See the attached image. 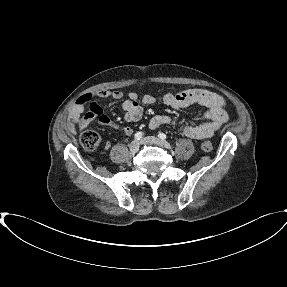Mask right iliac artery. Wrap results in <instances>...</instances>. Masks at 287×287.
I'll list each match as a JSON object with an SVG mask.
<instances>
[{
  "label": "right iliac artery",
  "instance_id": "obj_1",
  "mask_svg": "<svg viewBox=\"0 0 287 287\" xmlns=\"http://www.w3.org/2000/svg\"><path fill=\"white\" fill-rule=\"evenodd\" d=\"M143 136H144L143 132H137L134 137L136 140H140L143 138Z\"/></svg>",
  "mask_w": 287,
  "mask_h": 287
}]
</instances>
